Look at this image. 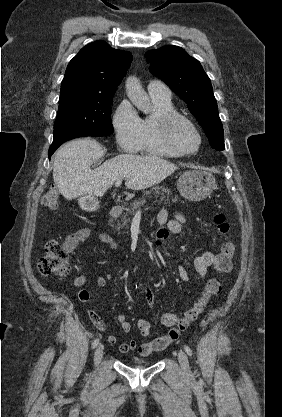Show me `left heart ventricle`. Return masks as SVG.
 <instances>
[{
	"label": "left heart ventricle",
	"instance_id": "left-heart-ventricle-1",
	"mask_svg": "<svg viewBox=\"0 0 282 417\" xmlns=\"http://www.w3.org/2000/svg\"><path fill=\"white\" fill-rule=\"evenodd\" d=\"M157 130L162 135V129L157 125ZM174 140L183 148L194 151L198 145L197 137L182 125H177L173 129Z\"/></svg>",
	"mask_w": 282,
	"mask_h": 417
}]
</instances>
